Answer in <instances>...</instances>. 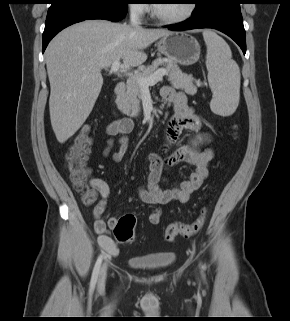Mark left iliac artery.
<instances>
[{
	"mask_svg": "<svg viewBox=\"0 0 290 321\" xmlns=\"http://www.w3.org/2000/svg\"><path fill=\"white\" fill-rule=\"evenodd\" d=\"M201 269H202V271H204L205 270V266L201 265Z\"/></svg>",
	"mask_w": 290,
	"mask_h": 321,
	"instance_id": "1",
	"label": "left iliac artery"
}]
</instances>
